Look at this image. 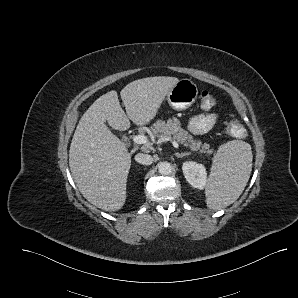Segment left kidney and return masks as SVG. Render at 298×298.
<instances>
[{
	"instance_id": "5707ae66",
	"label": "left kidney",
	"mask_w": 298,
	"mask_h": 298,
	"mask_svg": "<svg viewBox=\"0 0 298 298\" xmlns=\"http://www.w3.org/2000/svg\"><path fill=\"white\" fill-rule=\"evenodd\" d=\"M182 172L189 185L195 189L204 190L208 179V171L204 164L194 160L182 163Z\"/></svg>"
}]
</instances>
